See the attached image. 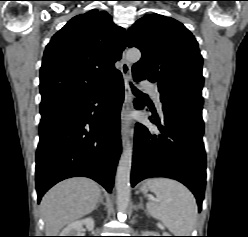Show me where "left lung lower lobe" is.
<instances>
[{
    "mask_svg": "<svg viewBox=\"0 0 248 237\" xmlns=\"http://www.w3.org/2000/svg\"><path fill=\"white\" fill-rule=\"evenodd\" d=\"M134 105L143 109L144 103L136 99ZM163 112L162 124L150 117L161 134L136 124L131 185L150 177L176 179L193 192L201 210L206 182L202 104L170 102L163 104Z\"/></svg>",
    "mask_w": 248,
    "mask_h": 237,
    "instance_id": "obj_1",
    "label": "left lung lower lobe"
}]
</instances>
